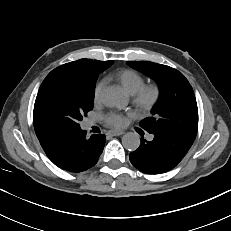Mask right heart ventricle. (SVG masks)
Segmentation results:
<instances>
[{
  "label": "right heart ventricle",
  "instance_id": "1",
  "mask_svg": "<svg viewBox=\"0 0 231 231\" xmlns=\"http://www.w3.org/2000/svg\"><path fill=\"white\" fill-rule=\"evenodd\" d=\"M116 79L129 95L135 94L145 84L144 77L131 69L122 70Z\"/></svg>",
  "mask_w": 231,
  "mask_h": 231
}]
</instances>
